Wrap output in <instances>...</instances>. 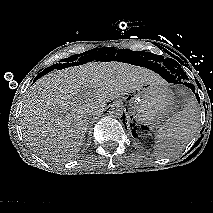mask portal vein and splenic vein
<instances>
[{
	"instance_id": "18ae733b",
	"label": "portal vein and splenic vein",
	"mask_w": 213,
	"mask_h": 213,
	"mask_svg": "<svg viewBox=\"0 0 213 213\" xmlns=\"http://www.w3.org/2000/svg\"><path fill=\"white\" fill-rule=\"evenodd\" d=\"M87 96H90V95H88V94H87V95H84L83 98H86ZM81 100H82V99H81Z\"/></svg>"
}]
</instances>
